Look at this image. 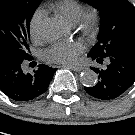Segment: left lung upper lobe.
<instances>
[{
  "label": "left lung upper lobe",
  "instance_id": "5c2ea615",
  "mask_svg": "<svg viewBox=\"0 0 135 135\" xmlns=\"http://www.w3.org/2000/svg\"><path fill=\"white\" fill-rule=\"evenodd\" d=\"M100 11L98 41L88 56L135 53V7L128 0H82Z\"/></svg>",
  "mask_w": 135,
  "mask_h": 135
}]
</instances>
